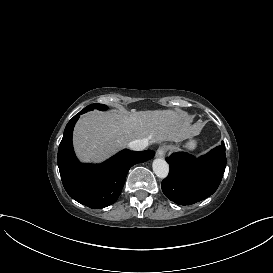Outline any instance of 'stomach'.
Instances as JSON below:
<instances>
[{"instance_id":"0dacf381","label":"stomach","mask_w":273,"mask_h":273,"mask_svg":"<svg viewBox=\"0 0 273 273\" xmlns=\"http://www.w3.org/2000/svg\"><path fill=\"white\" fill-rule=\"evenodd\" d=\"M163 146L166 147L167 151L172 150V147L168 146L167 144H164ZM183 148L188 152H193L198 148V142L197 140L187 141L184 143Z\"/></svg>"}]
</instances>
